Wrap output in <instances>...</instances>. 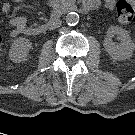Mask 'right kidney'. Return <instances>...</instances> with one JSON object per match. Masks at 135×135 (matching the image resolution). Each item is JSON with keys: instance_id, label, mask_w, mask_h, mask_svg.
<instances>
[{"instance_id": "ca27d5eb", "label": "right kidney", "mask_w": 135, "mask_h": 135, "mask_svg": "<svg viewBox=\"0 0 135 135\" xmlns=\"http://www.w3.org/2000/svg\"><path fill=\"white\" fill-rule=\"evenodd\" d=\"M31 47L32 44L28 39L24 37L15 39L9 51L10 60L14 63H20L21 61H24L27 58Z\"/></svg>"}]
</instances>
